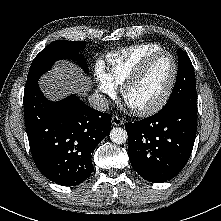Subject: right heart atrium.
I'll use <instances>...</instances> for the list:
<instances>
[{
	"label": "right heart atrium",
	"mask_w": 221,
	"mask_h": 221,
	"mask_svg": "<svg viewBox=\"0 0 221 221\" xmlns=\"http://www.w3.org/2000/svg\"><path fill=\"white\" fill-rule=\"evenodd\" d=\"M94 79L98 91L106 96H113L116 93V87L109 75L102 67H96L94 70Z\"/></svg>",
	"instance_id": "d8ad5b80"
}]
</instances>
